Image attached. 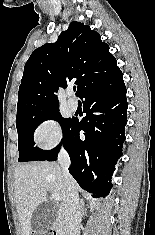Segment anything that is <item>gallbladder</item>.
<instances>
[{
	"label": "gallbladder",
	"instance_id": "bac80fb5",
	"mask_svg": "<svg viewBox=\"0 0 155 235\" xmlns=\"http://www.w3.org/2000/svg\"><path fill=\"white\" fill-rule=\"evenodd\" d=\"M58 214V207L51 202L41 203L34 211L31 226L35 232H43L50 228Z\"/></svg>",
	"mask_w": 155,
	"mask_h": 235
}]
</instances>
